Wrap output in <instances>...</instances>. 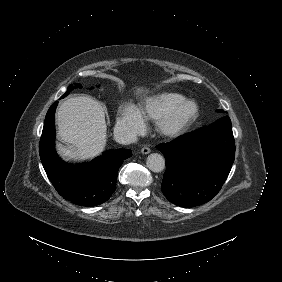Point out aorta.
Instances as JSON below:
<instances>
[{"mask_svg": "<svg viewBox=\"0 0 282 282\" xmlns=\"http://www.w3.org/2000/svg\"><path fill=\"white\" fill-rule=\"evenodd\" d=\"M147 167L154 172H161L165 167V160L159 153H151L146 160Z\"/></svg>", "mask_w": 282, "mask_h": 282, "instance_id": "aorta-1", "label": "aorta"}]
</instances>
